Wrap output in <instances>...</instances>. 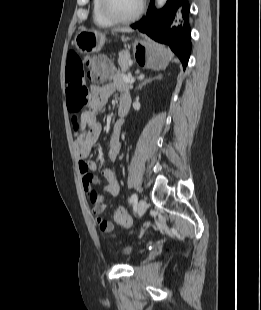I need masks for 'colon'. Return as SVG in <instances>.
<instances>
[{
  "label": "colon",
  "mask_w": 261,
  "mask_h": 310,
  "mask_svg": "<svg viewBox=\"0 0 261 310\" xmlns=\"http://www.w3.org/2000/svg\"><path fill=\"white\" fill-rule=\"evenodd\" d=\"M87 78L92 83H99L112 76L113 70L108 58L104 55H96L87 60ZM99 198L95 192H91V202L97 203ZM115 221L125 227L131 225L132 220L123 207H118L114 212ZM99 227L103 232H110L112 226L108 221H101Z\"/></svg>",
  "instance_id": "obj_1"
}]
</instances>
